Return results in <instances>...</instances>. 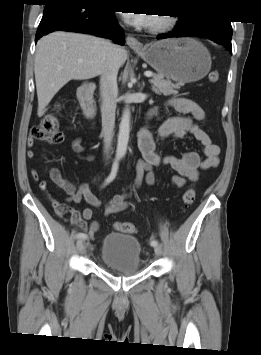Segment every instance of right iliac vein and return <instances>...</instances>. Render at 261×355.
Listing matches in <instances>:
<instances>
[{"mask_svg": "<svg viewBox=\"0 0 261 355\" xmlns=\"http://www.w3.org/2000/svg\"><path fill=\"white\" fill-rule=\"evenodd\" d=\"M85 249V245H84V242H83V240H78L77 241V250L79 251V252H82L83 250Z\"/></svg>", "mask_w": 261, "mask_h": 355, "instance_id": "63e3f726", "label": "right iliac vein"}]
</instances>
